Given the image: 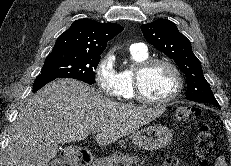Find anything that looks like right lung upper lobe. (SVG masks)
<instances>
[{
    "label": "right lung upper lobe",
    "mask_w": 231,
    "mask_h": 166,
    "mask_svg": "<svg viewBox=\"0 0 231 166\" xmlns=\"http://www.w3.org/2000/svg\"><path fill=\"white\" fill-rule=\"evenodd\" d=\"M123 30L116 23H100L91 19H79L62 33L52 51L71 50L101 55L107 42Z\"/></svg>",
    "instance_id": "cb5924a9"
}]
</instances>
